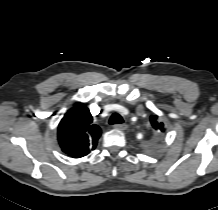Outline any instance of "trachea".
Masks as SVG:
<instances>
[{
    "instance_id": "1",
    "label": "trachea",
    "mask_w": 218,
    "mask_h": 210,
    "mask_svg": "<svg viewBox=\"0 0 218 210\" xmlns=\"http://www.w3.org/2000/svg\"><path fill=\"white\" fill-rule=\"evenodd\" d=\"M124 122L122 116L118 113H114L111 115L110 119H109V123L111 125H114V124H122Z\"/></svg>"
}]
</instances>
